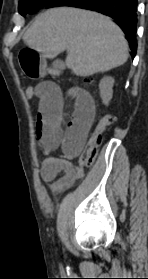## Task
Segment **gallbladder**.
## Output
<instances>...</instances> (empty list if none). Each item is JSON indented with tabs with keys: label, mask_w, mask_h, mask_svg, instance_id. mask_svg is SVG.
Here are the masks:
<instances>
[{
	"label": "gallbladder",
	"mask_w": 148,
	"mask_h": 279,
	"mask_svg": "<svg viewBox=\"0 0 148 279\" xmlns=\"http://www.w3.org/2000/svg\"><path fill=\"white\" fill-rule=\"evenodd\" d=\"M52 66L55 69H59V70L63 69V64L60 60H55L52 64Z\"/></svg>",
	"instance_id": "obj_1"
}]
</instances>
